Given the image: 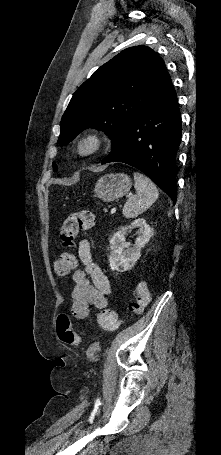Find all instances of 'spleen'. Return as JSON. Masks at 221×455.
<instances>
[{"label": "spleen", "instance_id": "1", "mask_svg": "<svg viewBox=\"0 0 221 455\" xmlns=\"http://www.w3.org/2000/svg\"><path fill=\"white\" fill-rule=\"evenodd\" d=\"M133 176L136 195L129 197L122 210L127 219L136 218L145 212L159 195L156 186L148 177L139 172H135Z\"/></svg>", "mask_w": 221, "mask_h": 455}]
</instances>
